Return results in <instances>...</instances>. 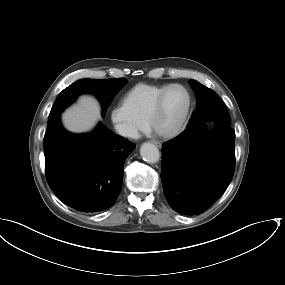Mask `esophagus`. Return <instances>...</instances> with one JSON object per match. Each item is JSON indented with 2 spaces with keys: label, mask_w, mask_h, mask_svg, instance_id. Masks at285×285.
Instances as JSON below:
<instances>
[{
  "label": "esophagus",
  "mask_w": 285,
  "mask_h": 285,
  "mask_svg": "<svg viewBox=\"0 0 285 285\" xmlns=\"http://www.w3.org/2000/svg\"><path fill=\"white\" fill-rule=\"evenodd\" d=\"M152 143H154L159 148L162 147V144L159 141L153 140Z\"/></svg>",
  "instance_id": "obj_1"
}]
</instances>
